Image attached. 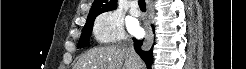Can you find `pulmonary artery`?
<instances>
[{"instance_id": "e3ab8cb5", "label": "pulmonary artery", "mask_w": 246, "mask_h": 69, "mask_svg": "<svg viewBox=\"0 0 246 69\" xmlns=\"http://www.w3.org/2000/svg\"><path fill=\"white\" fill-rule=\"evenodd\" d=\"M130 14L132 16H139L140 15V11L137 9V4H135V3L132 4Z\"/></svg>"}]
</instances>
